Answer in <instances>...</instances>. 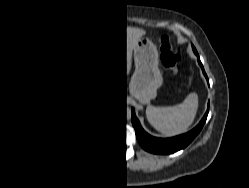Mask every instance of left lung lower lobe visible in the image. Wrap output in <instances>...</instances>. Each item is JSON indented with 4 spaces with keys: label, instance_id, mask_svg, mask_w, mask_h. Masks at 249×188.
<instances>
[{
    "label": "left lung lower lobe",
    "instance_id": "0a47b994",
    "mask_svg": "<svg viewBox=\"0 0 249 188\" xmlns=\"http://www.w3.org/2000/svg\"><path fill=\"white\" fill-rule=\"evenodd\" d=\"M192 47H193L194 53L198 57V63L200 64L202 71L207 79L208 84H209V79L204 71L202 63L200 62L199 55H198L195 47L194 46H192ZM208 112H209V103H208L207 112L205 113V115L202 118V120L200 121V123L193 130H191L190 132H188L186 134L179 135V136H176L173 138L162 139V138L152 137L149 134H147L143 130V128L141 127L138 119L136 118L133 108H132V124L135 128L137 140L144 150L151 152V153H155V154H171V153H174L178 150L184 149L188 144L191 143V141L201 131V129L206 121Z\"/></svg>",
    "mask_w": 249,
    "mask_h": 188
}]
</instances>
